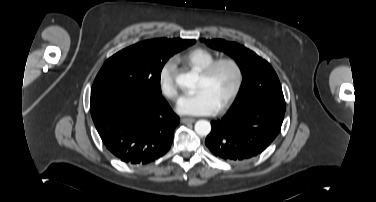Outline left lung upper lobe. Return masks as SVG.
<instances>
[{"label":"left lung upper lobe","mask_w":376,"mask_h":202,"mask_svg":"<svg viewBox=\"0 0 376 202\" xmlns=\"http://www.w3.org/2000/svg\"><path fill=\"white\" fill-rule=\"evenodd\" d=\"M211 48L231 55L243 74L241 97L231 109L242 111L252 105H265L285 112V101L279 79L272 66L253 51L222 39H201Z\"/></svg>","instance_id":"5c2ea615"}]
</instances>
